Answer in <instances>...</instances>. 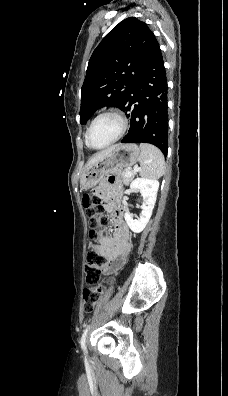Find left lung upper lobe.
I'll return each instance as SVG.
<instances>
[{"label":"left lung upper lobe","instance_id":"obj_1","mask_svg":"<svg viewBox=\"0 0 228 396\" xmlns=\"http://www.w3.org/2000/svg\"><path fill=\"white\" fill-rule=\"evenodd\" d=\"M156 38L135 17L116 25L94 50L81 88V124L103 106L122 109Z\"/></svg>","mask_w":228,"mask_h":396}]
</instances>
